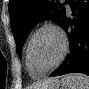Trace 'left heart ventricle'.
Segmentation results:
<instances>
[{"instance_id": "b2bd125f", "label": "left heart ventricle", "mask_w": 89, "mask_h": 89, "mask_svg": "<svg viewBox=\"0 0 89 89\" xmlns=\"http://www.w3.org/2000/svg\"><path fill=\"white\" fill-rule=\"evenodd\" d=\"M62 50L60 36L52 29L41 30L34 38L30 50L31 61L35 70H44L52 66Z\"/></svg>"}]
</instances>
